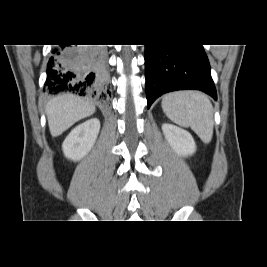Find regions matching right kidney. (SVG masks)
I'll use <instances>...</instances> for the list:
<instances>
[{
  "mask_svg": "<svg viewBox=\"0 0 267 267\" xmlns=\"http://www.w3.org/2000/svg\"><path fill=\"white\" fill-rule=\"evenodd\" d=\"M100 130V121L92 118L75 127L62 144L64 155L73 161H79L93 147Z\"/></svg>",
  "mask_w": 267,
  "mask_h": 267,
  "instance_id": "obj_1",
  "label": "right kidney"
}]
</instances>
